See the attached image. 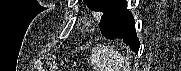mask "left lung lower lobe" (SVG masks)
<instances>
[{"instance_id":"left-lung-lower-lobe-1","label":"left lung lower lobe","mask_w":181,"mask_h":71,"mask_svg":"<svg viewBox=\"0 0 181 71\" xmlns=\"http://www.w3.org/2000/svg\"><path fill=\"white\" fill-rule=\"evenodd\" d=\"M101 33L108 39L120 38L135 52L139 51L140 42L135 30V22L127 9V2H118L106 13L100 21Z\"/></svg>"}]
</instances>
